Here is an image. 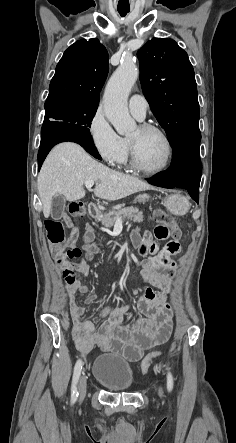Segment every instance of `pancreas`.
<instances>
[{
	"label": "pancreas",
	"mask_w": 236,
	"mask_h": 443,
	"mask_svg": "<svg viewBox=\"0 0 236 443\" xmlns=\"http://www.w3.org/2000/svg\"><path fill=\"white\" fill-rule=\"evenodd\" d=\"M118 218L121 220L128 219L133 222H142L144 219L143 213L139 211L137 207L133 206L127 208L120 206L114 211L98 216L104 228H111L117 222Z\"/></svg>",
	"instance_id": "obj_1"
}]
</instances>
